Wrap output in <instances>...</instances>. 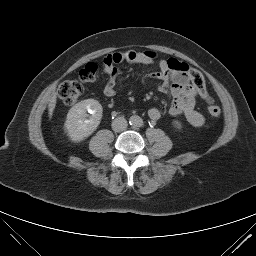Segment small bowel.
Here are the masks:
<instances>
[{
	"instance_id": "c3829d8e",
	"label": "small bowel",
	"mask_w": 256,
	"mask_h": 256,
	"mask_svg": "<svg viewBox=\"0 0 256 256\" xmlns=\"http://www.w3.org/2000/svg\"><path fill=\"white\" fill-rule=\"evenodd\" d=\"M112 55L118 59V62L115 67L104 66V72L108 76L104 87V94L107 97L116 95L117 79L121 73L119 64L150 65L154 62L152 52L127 51ZM158 68L159 70L150 77L159 82V91L168 92L172 95L173 101L168 111L169 115L172 117L184 115L191 125L202 126L205 118L195 109L197 92L188 76L187 69L189 66L176 59H163L158 61ZM148 116L151 120L156 121L161 118L162 113L158 108L153 107L148 110Z\"/></svg>"
}]
</instances>
